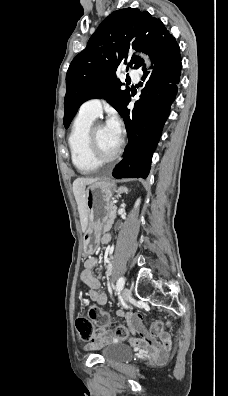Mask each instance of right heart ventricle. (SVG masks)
<instances>
[{
	"label": "right heart ventricle",
	"instance_id": "e07e8e85",
	"mask_svg": "<svg viewBox=\"0 0 228 396\" xmlns=\"http://www.w3.org/2000/svg\"><path fill=\"white\" fill-rule=\"evenodd\" d=\"M93 121L94 117L79 113L68 138L72 162L84 174L93 173L99 167L91 160L87 149V134Z\"/></svg>",
	"mask_w": 228,
	"mask_h": 396
}]
</instances>
